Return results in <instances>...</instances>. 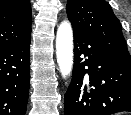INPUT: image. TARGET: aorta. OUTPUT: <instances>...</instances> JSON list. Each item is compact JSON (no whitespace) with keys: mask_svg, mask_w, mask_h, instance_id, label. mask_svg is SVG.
<instances>
[{"mask_svg":"<svg viewBox=\"0 0 131 115\" xmlns=\"http://www.w3.org/2000/svg\"><path fill=\"white\" fill-rule=\"evenodd\" d=\"M56 56L61 75H70L73 67V32L71 24L62 22L56 35Z\"/></svg>","mask_w":131,"mask_h":115,"instance_id":"762f6f07","label":"aorta"}]
</instances>
